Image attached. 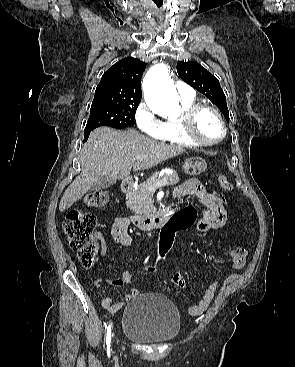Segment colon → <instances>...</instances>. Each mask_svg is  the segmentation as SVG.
I'll return each instance as SVG.
<instances>
[{
	"mask_svg": "<svg viewBox=\"0 0 295 367\" xmlns=\"http://www.w3.org/2000/svg\"><path fill=\"white\" fill-rule=\"evenodd\" d=\"M218 186L224 191H230L232 186L228 178L225 175H219L217 177ZM214 196L219 194L217 189L212 191ZM109 198V193L106 190H96L89 193L84 201L85 203L94 208L103 207ZM187 201L190 199L188 196L185 198ZM220 201L223 206L229 205V200L226 194H221ZM195 208L191 203H186L183 206L182 211L176 216L175 219H167L165 224H161L160 235L157 241L158 250L156 253V261H160L168 253L172 246L175 245V238L179 231H185L195 221ZM96 226L95 216L87 211L80 209H71L66 214L63 230L69 240L71 248L77 252L79 261L81 264L90 268L93 266L96 260L98 251L97 244L93 241L92 233ZM246 249L244 247H236L232 250V260L236 264H244L246 259ZM154 266L147 268L148 272H153Z\"/></svg>",
	"mask_w": 295,
	"mask_h": 367,
	"instance_id": "obj_1",
	"label": "colon"
}]
</instances>
